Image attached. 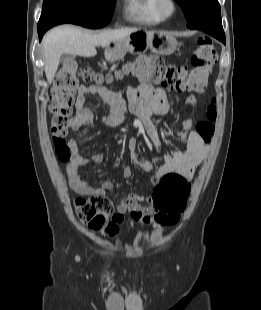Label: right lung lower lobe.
<instances>
[{
  "label": "right lung lower lobe",
  "instance_id": "1",
  "mask_svg": "<svg viewBox=\"0 0 261 310\" xmlns=\"http://www.w3.org/2000/svg\"><path fill=\"white\" fill-rule=\"evenodd\" d=\"M49 28H38L39 40L41 41L42 36Z\"/></svg>",
  "mask_w": 261,
  "mask_h": 310
}]
</instances>
